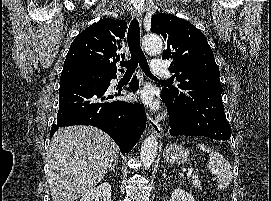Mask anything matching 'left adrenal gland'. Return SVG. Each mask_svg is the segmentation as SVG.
I'll return each instance as SVG.
<instances>
[{
    "instance_id": "left-adrenal-gland-1",
    "label": "left adrenal gland",
    "mask_w": 271,
    "mask_h": 201,
    "mask_svg": "<svg viewBox=\"0 0 271 201\" xmlns=\"http://www.w3.org/2000/svg\"><path fill=\"white\" fill-rule=\"evenodd\" d=\"M162 175H163V178H167L168 177L167 174H166V170H163Z\"/></svg>"
}]
</instances>
